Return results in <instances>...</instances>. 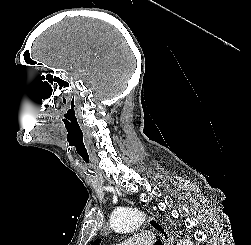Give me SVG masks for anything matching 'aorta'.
<instances>
[{"label": "aorta", "instance_id": "1", "mask_svg": "<svg viewBox=\"0 0 251 245\" xmlns=\"http://www.w3.org/2000/svg\"><path fill=\"white\" fill-rule=\"evenodd\" d=\"M142 222V212L136 208L117 209L110 218L111 228L118 233L132 232L138 229ZM178 245H193V242L190 239H185Z\"/></svg>", "mask_w": 251, "mask_h": 245}]
</instances>
